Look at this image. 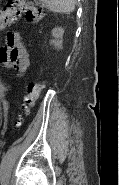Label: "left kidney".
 Listing matches in <instances>:
<instances>
[{"mask_svg": "<svg viewBox=\"0 0 119 185\" xmlns=\"http://www.w3.org/2000/svg\"><path fill=\"white\" fill-rule=\"evenodd\" d=\"M64 34V29L62 27H56L52 30V36L54 37L53 40H51V43L57 47L61 48L62 47V38Z\"/></svg>", "mask_w": 119, "mask_h": 185, "instance_id": "1", "label": "left kidney"}]
</instances>
